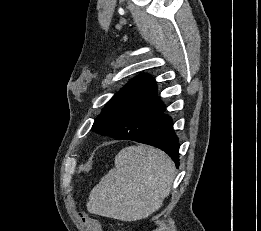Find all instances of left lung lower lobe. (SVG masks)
I'll list each match as a JSON object with an SVG mask.
<instances>
[{"label": "left lung lower lobe", "instance_id": "1", "mask_svg": "<svg viewBox=\"0 0 261 231\" xmlns=\"http://www.w3.org/2000/svg\"><path fill=\"white\" fill-rule=\"evenodd\" d=\"M172 119L164 112L156 118L147 131L139 138H119L117 140H134L143 144L157 147L167 153L176 166H179V145L178 138L172 127Z\"/></svg>", "mask_w": 261, "mask_h": 231}]
</instances>
